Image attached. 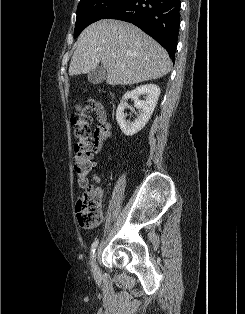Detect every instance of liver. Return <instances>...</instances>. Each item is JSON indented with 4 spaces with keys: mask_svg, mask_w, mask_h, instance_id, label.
<instances>
[{
    "mask_svg": "<svg viewBox=\"0 0 245 314\" xmlns=\"http://www.w3.org/2000/svg\"><path fill=\"white\" fill-rule=\"evenodd\" d=\"M116 54V57L112 55ZM101 63L109 85H133L171 71L167 51L141 29L120 20L89 25L75 43L69 75L86 74Z\"/></svg>",
    "mask_w": 245,
    "mask_h": 314,
    "instance_id": "obj_1",
    "label": "liver"
}]
</instances>
